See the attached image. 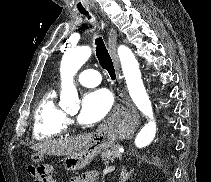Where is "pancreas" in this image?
<instances>
[{
	"label": "pancreas",
	"mask_w": 211,
	"mask_h": 182,
	"mask_svg": "<svg viewBox=\"0 0 211 182\" xmlns=\"http://www.w3.org/2000/svg\"><path fill=\"white\" fill-rule=\"evenodd\" d=\"M122 155L119 151V145H115L110 149H106L102 153V160L105 164H109L114 161V159H121Z\"/></svg>",
	"instance_id": "cf45deb5"
}]
</instances>
